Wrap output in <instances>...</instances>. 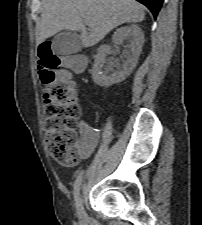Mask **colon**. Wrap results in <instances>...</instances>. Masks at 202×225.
Listing matches in <instances>:
<instances>
[{
    "instance_id": "5ec220e1",
    "label": "colon",
    "mask_w": 202,
    "mask_h": 225,
    "mask_svg": "<svg viewBox=\"0 0 202 225\" xmlns=\"http://www.w3.org/2000/svg\"><path fill=\"white\" fill-rule=\"evenodd\" d=\"M56 41H41L38 59L43 85V130L50 157L64 167H72L78 160V129L81 108L76 101V90L68 76L59 75L61 63L55 52ZM66 61L82 65L74 54H66Z\"/></svg>"
}]
</instances>
